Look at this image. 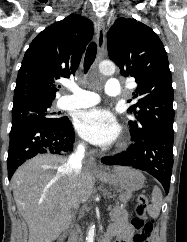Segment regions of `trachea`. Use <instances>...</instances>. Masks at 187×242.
<instances>
[{"label":"trachea","instance_id":"trachea-1","mask_svg":"<svg viewBox=\"0 0 187 242\" xmlns=\"http://www.w3.org/2000/svg\"><path fill=\"white\" fill-rule=\"evenodd\" d=\"M97 54V46L95 42H91L87 48L85 59H84V69L85 73L89 70L93 64Z\"/></svg>","mask_w":187,"mask_h":242}]
</instances>
